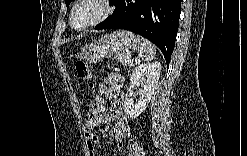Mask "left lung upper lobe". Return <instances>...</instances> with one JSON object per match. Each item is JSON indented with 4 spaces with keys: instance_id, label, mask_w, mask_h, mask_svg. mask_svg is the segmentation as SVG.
Segmentation results:
<instances>
[{
    "instance_id": "1",
    "label": "left lung upper lobe",
    "mask_w": 247,
    "mask_h": 156,
    "mask_svg": "<svg viewBox=\"0 0 247 156\" xmlns=\"http://www.w3.org/2000/svg\"><path fill=\"white\" fill-rule=\"evenodd\" d=\"M118 1H119V0H115V1H114V4L116 5V3H117ZM70 2H71V0H65L66 5H69Z\"/></svg>"
}]
</instances>
